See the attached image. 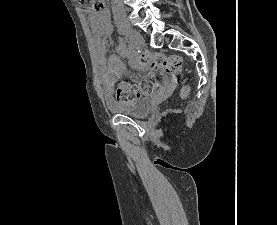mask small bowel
Returning a JSON list of instances; mask_svg holds the SVG:
<instances>
[{
    "label": "small bowel",
    "instance_id": "obj_1",
    "mask_svg": "<svg viewBox=\"0 0 277 225\" xmlns=\"http://www.w3.org/2000/svg\"><path fill=\"white\" fill-rule=\"evenodd\" d=\"M89 19L93 30V48L101 70V80L104 88L111 86L126 71L124 58L130 59L133 68L140 69V66L133 60L132 51L122 39L116 45L117 55L105 57L106 46L103 39L109 37L113 31L109 12L105 8H102L99 12L90 11ZM174 82V78L165 80L166 85H172Z\"/></svg>",
    "mask_w": 277,
    "mask_h": 225
}]
</instances>
